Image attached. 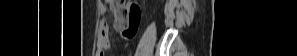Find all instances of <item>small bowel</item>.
Listing matches in <instances>:
<instances>
[{
	"instance_id": "1",
	"label": "small bowel",
	"mask_w": 297,
	"mask_h": 56,
	"mask_svg": "<svg viewBox=\"0 0 297 56\" xmlns=\"http://www.w3.org/2000/svg\"><path fill=\"white\" fill-rule=\"evenodd\" d=\"M105 4L113 12V27L118 32L120 38L126 40L134 37L140 22V9L138 6L132 4L129 9L126 10L124 2L106 0ZM101 11L105 13V7H102ZM109 48V26L106 21H102L98 35L97 56H104Z\"/></svg>"
}]
</instances>
